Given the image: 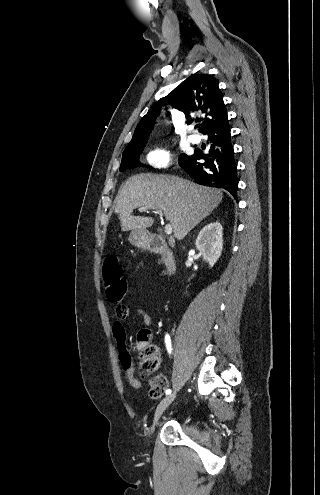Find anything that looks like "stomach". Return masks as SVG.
<instances>
[{
	"label": "stomach",
	"mask_w": 320,
	"mask_h": 495,
	"mask_svg": "<svg viewBox=\"0 0 320 495\" xmlns=\"http://www.w3.org/2000/svg\"><path fill=\"white\" fill-rule=\"evenodd\" d=\"M129 241L136 247H147L148 235L145 231H132L129 235Z\"/></svg>",
	"instance_id": "stomach-1"
}]
</instances>
